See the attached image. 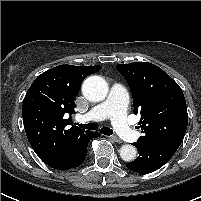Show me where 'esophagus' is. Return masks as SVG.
Segmentation results:
<instances>
[{
	"label": "esophagus",
	"instance_id": "obj_1",
	"mask_svg": "<svg viewBox=\"0 0 201 201\" xmlns=\"http://www.w3.org/2000/svg\"><path fill=\"white\" fill-rule=\"evenodd\" d=\"M109 138L111 140L117 142V143H121L122 142V140L119 137H117V136H110Z\"/></svg>",
	"mask_w": 201,
	"mask_h": 201
}]
</instances>
